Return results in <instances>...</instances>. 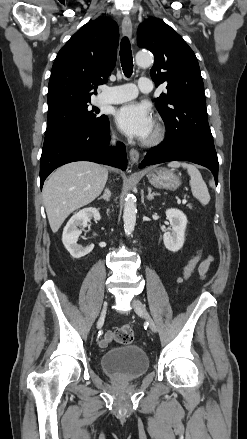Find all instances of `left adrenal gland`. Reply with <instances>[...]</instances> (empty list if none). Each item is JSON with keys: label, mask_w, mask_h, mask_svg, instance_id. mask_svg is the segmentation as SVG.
<instances>
[{"label": "left adrenal gland", "mask_w": 247, "mask_h": 439, "mask_svg": "<svg viewBox=\"0 0 247 439\" xmlns=\"http://www.w3.org/2000/svg\"><path fill=\"white\" fill-rule=\"evenodd\" d=\"M160 194L152 192L151 187H148V195H147V199L148 200H152L154 198V196H159Z\"/></svg>", "instance_id": "obj_1"}]
</instances>
